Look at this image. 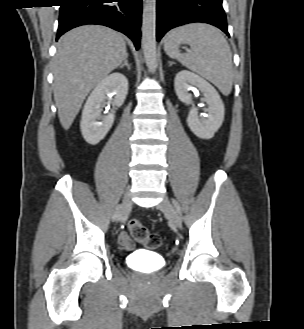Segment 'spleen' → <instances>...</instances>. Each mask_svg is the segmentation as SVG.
<instances>
[{"label":"spleen","mask_w":304,"mask_h":329,"mask_svg":"<svg viewBox=\"0 0 304 329\" xmlns=\"http://www.w3.org/2000/svg\"><path fill=\"white\" fill-rule=\"evenodd\" d=\"M190 45L189 53H181L179 45ZM166 54L183 66L212 82L223 95L233 85V64L230 46L221 32L204 23H191L173 29L165 38Z\"/></svg>","instance_id":"1"}]
</instances>
